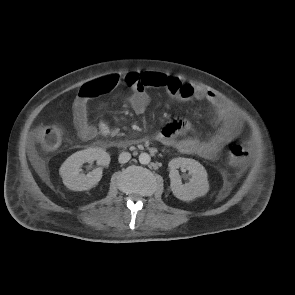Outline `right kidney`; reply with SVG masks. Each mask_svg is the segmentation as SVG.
Segmentation results:
<instances>
[{"instance_id": "obj_1", "label": "right kidney", "mask_w": 295, "mask_h": 295, "mask_svg": "<svg viewBox=\"0 0 295 295\" xmlns=\"http://www.w3.org/2000/svg\"><path fill=\"white\" fill-rule=\"evenodd\" d=\"M97 161L98 165L107 166L109 154L101 148H88L68 157L60 168L64 185L73 191H85L93 188L102 177V169L96 168L87 175L80 173L83 163Z\"/></svg>"}]
</instances>
